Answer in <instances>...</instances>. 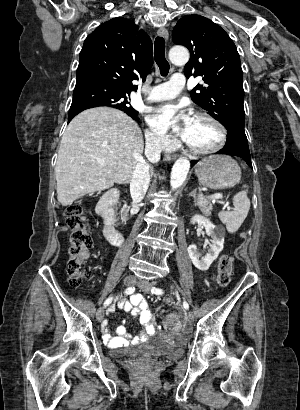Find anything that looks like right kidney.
Listing matches in <instances>:
<instances>
[{"label":"right kidney","mask_w":300,"mask_h":410,"mask_svg":"<svg viewBox=\"0 0 300 410\" xmlns=\"http://www.w3.org/2000/svg\"><path fill=\"white\" fill-rule=\"evenodd\" d=\"M105 219H106V224L111 225L114 221V211L111 208H106L103 212Z\"/></svg>","instance_id":"ca27d5eb"}]
</instances>
